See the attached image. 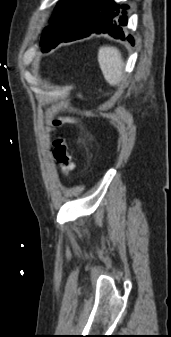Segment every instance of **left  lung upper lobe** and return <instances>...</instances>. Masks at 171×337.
<instances>
[{
	"label": "left lung upper lobe",
	"mask_w": 171,
	"mask_h": 337,
	"mask_svg": "<svg viewBox=\"0 0 171 337\" xmlns=\"http://www.w3.org/2000/svg\"><path fill=\"white\" fill-rule=\"evenodd\" d=\"M86 0L60 1L50 19V25L45 28L40 45L46 52L57 46L78 22Z\"/></svg>",
	"instance_id": "left-lung-upper-lobe-1"
}]
</instances>
